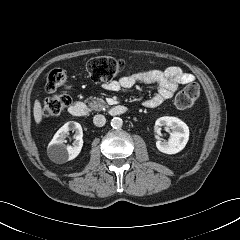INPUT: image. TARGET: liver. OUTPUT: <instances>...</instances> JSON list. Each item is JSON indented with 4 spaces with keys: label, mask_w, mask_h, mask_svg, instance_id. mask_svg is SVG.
<instances>
[{
    "label": "liver",
    "mask_w": 240,
    "mask_h": 240,
    "mask_svg": "<svg viewBox=\"0 0 240 240\" xmlns=\"http://www.w3.org/2000/svg\"><path fill=\"white\" fill-rule=\"evenodd\" d=\"M33 114L36 123L40 124V122L42 121V108L39 100H36L34 103Z\"/></svg>",
    "instance_id": "liver-1"
}]
</instances>
